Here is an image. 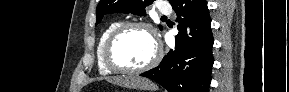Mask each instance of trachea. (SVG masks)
<instances>
[{
    "label": "trachea",
    "mask_w": 289,
    "mask_h": 92,
    "mask_svg": "<svg viewBox=\"0 0 289 92\" xmlns=\"http://www.w3.org/2000/svg\"><path fill=\"white\" fill-rule=\"evenodd\" d=\"M162 18H166V16H162Z\"/></svg>",
    "instance_id": "1"
}]
</instances>
